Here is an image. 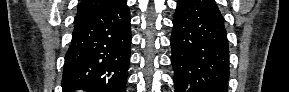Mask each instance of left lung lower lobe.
<instances>
[{
	"label": "left lung lower lobe",
	"mask_w": 289,
	"mask_h": 92,
	"mask_svg": "<svg viewBox=\"0 0 289 92\" xmlns=\"http://www.w3.org/2000/svg\"><path fill=\"white\" fill-rule=\"evenodd\" d=\"M175 92H228L229 44L214 0H178L171 35Z\"/></svg>",
	"instance_id": "left-lung-lower-lobe-1"
}]
</instances>
